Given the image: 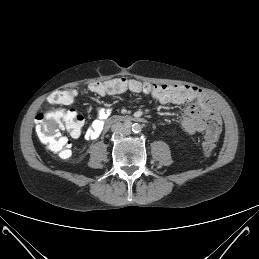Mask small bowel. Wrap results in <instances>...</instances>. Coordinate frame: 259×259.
I'll return each instance as SVG.
<instances>
[{
  "instance_id": "small-bowel-1",
  "label": "small bowel",
  "mask_w": 259,
  "mask_h": 259,
  "mask_svg": "<svg viewBox=\"0 0 259 259\" xmlns=\"http://www.w3.org/2000/svg\"><path fill=\"white\" fill-rule=\"evenodd\" d=\"M199 91L200 96L195 101L166 103L178 105L187 104L181 123L183 129L191 135L205 131L208 128V126L212 123L216 124L219 128L221 125V119L217 110L210 104L207 96L200 89ZM109 114L110 110L108 108H98L96 119L92 122L91 126L84 133L86 139L94 140L101 135V133L104 130V122L106 118L109 116ZM80 134L78 136H80Z\"/></svg>"
}]
</instances>
